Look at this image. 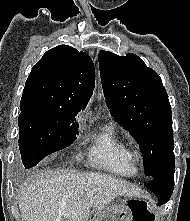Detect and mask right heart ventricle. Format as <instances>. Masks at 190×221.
Listing matches in <instances>:
<instances>
[{"mask_svg":"<svg viewBox=\"0 0 190 221\" xmlns=\"http://www.w3.org/2000/svg\"><path fill=\"white\" fill-rule=\"evenodd\" d=\"M90 141L88 159L92 166L123 177H131L137 173L132 149L115 126H104L90 137Z\"/></svg>","mask_w":190,"mask_h":221,"instance_id":"1","label":"right heart ventricle"}]
</instances>
